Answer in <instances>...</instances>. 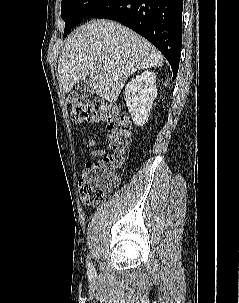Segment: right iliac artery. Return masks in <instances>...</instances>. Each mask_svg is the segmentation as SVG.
<instances>
[{
    "mask_svg": "<svg viewBox=\"0 0 239 303\" xmlns=\"http://www.w3.org/2000/svg\"><path fill=\"white\" fill-rule=\"evenodd\" d=\"M87 266H88L89 273H93L94 272L93 264L91 262H88Z\"/></svg>",
    "mask_w": 239,
    "mask_h": 303,
    "instance_id": "right-iliac-artery-1",
    "label": "right iliac artery"
}]
</instances>
